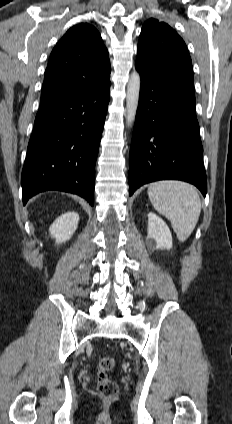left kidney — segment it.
<instances>
[{"label": "left kidney", "instance_id": "1", "mask_svg": "<svg viewBox=\"0 0 232 424\" xmlns=\"http://www.w3.org/2000/svg\"><path fill=\"white\" fill-rule=\"evenodd\" d=\"M147 246L149 249H171L172 235L166 223L155 213H148Z\"/></svg>", "mask_w": 232, "mask_h": 424}]
</instances>
